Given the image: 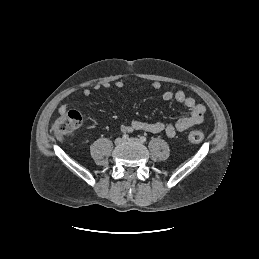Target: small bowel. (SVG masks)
Returning <instances> with one entry per match:
<instances>
[{
    "instance_id": "1",
    "label": "small bowel",
    "mask_w": 259,
    "mask_h": 259,
    "mask_svg": "<svg viewBox=\"0 0 259 259\" xmlns=\"http://www.w3.org/2000/svg\"><path fill=\"white\" fill-rule=\"evenodd\" d=\"M112 86L116 88H123L124 83L121 80H116L113 84L110 82H103L95 85V89L99 90L101 88H111ZM152 88L158 90L161 88V83L159 81H154L151 84ZM84 96H89L91 94L90 88H85L82 91ZM165 101L174 100L186 108L189 109V114L179 118L175 123H163V122H143L139 120H133L128 124H123L121 126V131L124 133H131L133 131H145L149 133H161L164 132L168 137H175L178 133L188 130L189 128L200 124L206 112V107L199 104L191 96H188L183 90H166L163 95ZM60 113L66 112V107L61 106L59 109Z\"/></svg>"
}]
</instances>
